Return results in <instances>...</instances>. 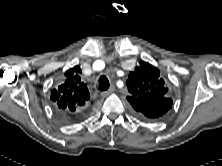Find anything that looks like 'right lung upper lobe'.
Masks as SVG:
<instances>
[{"instance_id": "obj_1", "label": "right lung upper lobe", "mask_w": 222, "mask_h": 166, "mask_svg": "<svg viewBox=\"0 0 222 166\" xmlns=\"http://www.w3.org/2000/svg\"><path fill=\"white\" fill-rule=\"evenodd\" d=\"M80 73L79 66L67 70L58 89L52 91L51 99L58 105L59 111L71 118L79 113L90 98L87 86L81 82Z\"/></svg>"}]
</instances>
